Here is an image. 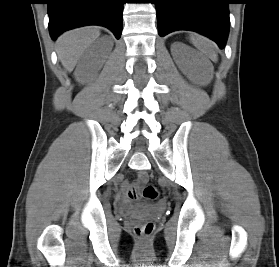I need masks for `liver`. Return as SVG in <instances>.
<instances>
[{
    "label": "liver",
    "mask_w": 279,
    "mask_h": 267,
    "mask_svg": "<svg viewBox=\"0 0 279 267\" xmlns=\"http://www.w3.org/2000/svg\"><path fill=\"white\" fill-rule=\"evenodd\" d=\"M98 27H82L62 34L57 40V54L63 67L71 72L85 50L99 37Z\"/></svg>",
    "instance_id": "liver-1"
}]
</instances>
